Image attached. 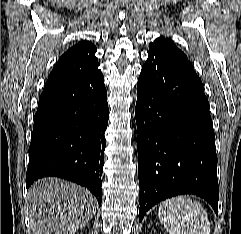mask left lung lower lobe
I'll return each instance as SVG.
<instances>
[{"instance_id": "left-lung-lower-lobe-1", "label": "left lung lower lobe", "mask_w": 241, "mask_h": 234, "mask_svg": "<svg viewBox=\"0 0 241 234\" xmlns=\"http://www.w3.org/2000/svg\"><path fill=\"white\" fill-rule=\"evenodd\" d=\"M139 221L172 196L195 194L218 214L215 135L192 64L149 48L137 83Z\"/></svg>"}]
</instances>
